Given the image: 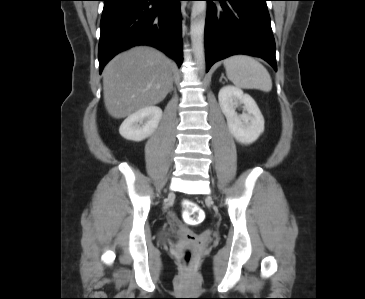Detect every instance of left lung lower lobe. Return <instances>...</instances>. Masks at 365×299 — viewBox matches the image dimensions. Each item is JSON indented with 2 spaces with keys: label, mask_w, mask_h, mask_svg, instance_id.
Masks as SVG:
<instances>
[{
  "label": "left lung lower lobe",
  "mask_w": 365,
  "mask_h": 299,
  "mask_svg": "<svg viewBox=\"0 0 365 299\" xmlns=\"http://www.w3.org/2000/svg\"><path fill=\"white\" fill-rule=\"evenodd\" d=\"M206 1L207 71L215 62L234 54L261 57L277 71L267 0ZM213 1H219L220 4Z\"/></svg>",
  "instance_id": "1"
}]
</instances>
